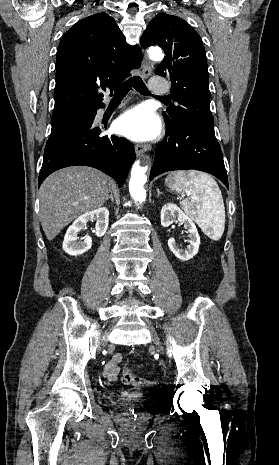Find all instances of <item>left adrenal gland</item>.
Returning a JSON list of instances; mask_svg holds the SVG:
<instances>
[{
  "label": "left adrenal gland",
  "instance_id": "obj_1",
  "mask_svg": "<svg viewBox=\"0 0 279 465\" xmlns=\"http://www.w3.org/2000/svg\"><path fill=\"white\" fill-rule=\"evenodd\" d=\"M161 194H163L159 189H157V197H159Z\"/></svg>",
  "mask_w": 279,
  "mask_h": 465
}]
</instances>
